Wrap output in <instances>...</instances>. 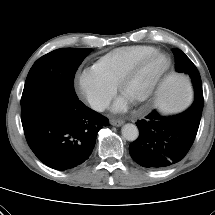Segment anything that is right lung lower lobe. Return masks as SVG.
I'll use <instances>...</instances> for the list:
<instances>
[{
  "label": "right lung lower lobe",
  "instance_id": "obj_1",
  "mask_svg": "<svg viewBox=\"0 0 215 215\" xmlns=\"http://www.w3.org/2000/svg\"><path fill=\"white\" fill-rule=\"evenodd\" d=\"M108 123L106 117L75 96L60 99L23 129L41 162L56 170H67L89 158L97 132Z\"/></svg>",
  "mask_w": 215,
  "mask_h": 215
}]
</instances>
